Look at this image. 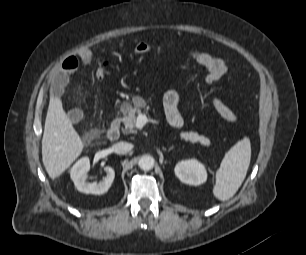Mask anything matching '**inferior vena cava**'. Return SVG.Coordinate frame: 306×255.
<instances>
[{"label":"inferior vena cava","instance_id":"inferior-vena-cava-1","mask_svg":"<svg viewBox=\"0 0 306 255\" xmlns=\"http://www.w3.org/2000/svg\"><path fill=\"white\" fill-rule=\"evenodd\" d=\"M133 148V145L127 142H118L113 145V150L117 154H126Z\"/></svg>","mask_w":306,"mask_h":255}]
</instances>
